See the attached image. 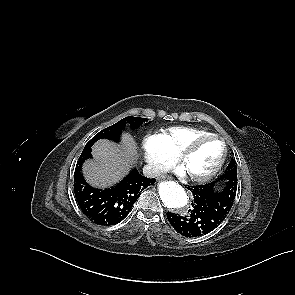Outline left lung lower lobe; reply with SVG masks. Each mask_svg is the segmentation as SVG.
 <instances>
[{"instance_id":"left-lung-lower-lobe-1","label":"left lung lower lobe","mask_w":295,"mask_h":295,"mask_svg":"<svg viewBox=\"0 0 295 295\" xmlns=\"http://www.w3.org/2000/svg\"><path fill=\"white\" fill-rule=\"evenodd\" d=\"M224 187L216 191V183L186 187L192 192L189 215L167 212L168 221L186 237L205 235L218 227L230 212L237 191V174L225 173L218 180Z\"/></svg>"}]
</instances>
